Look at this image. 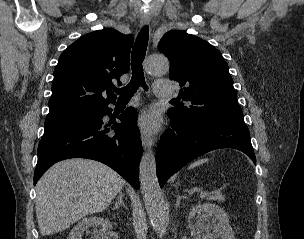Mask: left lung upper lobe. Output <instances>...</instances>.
I'll list each match as a JSON object with an SVG mask.
<instances>
[{
    "label": "left lung upper lobe",
    "mask_w": 304,
    "mask_h": 239,
    "mask_svg": "<svg viewBox=\"0 0 304 239\" xmlns=\"http://www.w3.org/2000/svg\"><path fill=\"white\" fill-rule=\"evenodd\" d=\"M158 49L170 60L169 78L183 86L182 99L192 103L170 108V113L195 126L219 120L244 122L228 65L219 50L183 31L164 34Z\"/></svg>",
    "instance_id": "left-lung-upper-lobe-1"
}]
</instances>
